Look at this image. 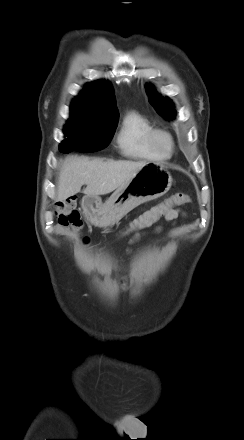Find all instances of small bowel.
<instances>
[{"label":"small bowel","mask_w":244,"mask_h":440,"mask_svg":"<svg viewBox=\"0 0 244 440\" xmlns=\"http://www.w3.org/2000/svg\"><path fill=\"white\" fill-rule=\"evenodd\" d=\"M183 212L180 209H170L166 214H165V218L167 221H174L176 220L179 216H182ZM159 229H157L158 231ZM140 235L136 234L133 239L132 242H135L139 239Z\"/></svg>","instance_id":"1"}]
</instances>
